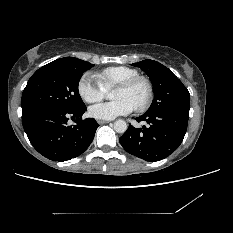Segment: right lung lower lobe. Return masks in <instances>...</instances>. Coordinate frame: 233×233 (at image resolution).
Returning <instances> with one entry per match:
<instances>
[{"mask_svg": "<svg viewBox=\"0 0 233 233\" xmlns=\"http://www.w3.org/2000/svg\"><path fill=\"white\" fill-rule=\"evenodd\" d=\"M86 106L76 111L46 109L22 118L24 130L33 147L44 157L58 162L82 154L94 139L95 119L82 120ZM71 117L75 125L68 126Z\"/></svg>", "mask_w": 233, "mask_h": 233, "instance_id": "98d812e1", "label": "right lung lower lobe"}]
</instances>
